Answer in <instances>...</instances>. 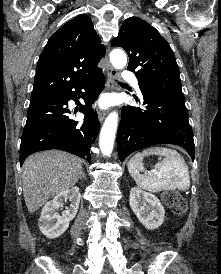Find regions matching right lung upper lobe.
<instances>
[{"label": "right lung upper lobe", "mask_w": 221, "mask_h": 274, "mask_svg": "<svg viewBox=\"0 0 221 274\" xmlns=\"http://www.w3.org/2000/svg\"><path fill=\"white\" fill-rule=\"evenodd\" d=\"M105 47L89 16L79 15L65 23L48 40L36 69L30 101L64 92L100 71Z\"/></svg>", "instance_id": "right-lung-upper-lobe-1"}]
</instances>
